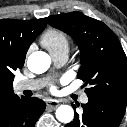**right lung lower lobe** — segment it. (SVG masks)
I'll return each instance as SVG.
<instances>
[{"label": "right lung lower lobe", "mask_w": 127, "mask_h": 127, "mask_svg": "<svg viewBox=\"0 0 127 127\" xmlns=\"http://www.w3.org/2000/svg\"><path fill=\"white\" fill-rule=\"evenodd\" d=\"M45 107L36 97L17 96L0 108V127H34Z\"/></svg>", "instance_id": "1"}]
</instances>
